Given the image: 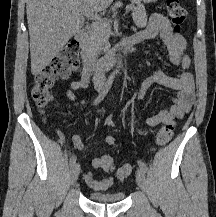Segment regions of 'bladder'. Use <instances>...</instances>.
Masks as SVG:
<instances>
[{
	"label": "bladder",
	"mask_w": 216,
	"mask_h": 217,
	"mask_svg": "<svg viewBox=\"0 0 216 217\" xmlns=\"http://www.w3.org/2000/svg\"><path fill=\"white\" fill-rule=\"evenodd\" d=\"M90 200L95 203H104V204H111V203H119L125 198L124 192H98V191H91L89 193Z\"/></svg>",
	"instance_id": "obj_1"
}]
</instances>
